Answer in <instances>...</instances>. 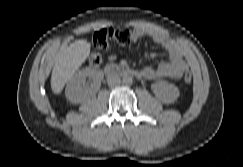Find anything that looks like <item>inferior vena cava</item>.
<instances>
[{"instance_id":"inferior-vena-cava-1","label":"inferior vena cava","mask_w":243,"mask_h":167,"mask_svg":"<svg viewBox=\"0 0 243 167\" xmlns=\"http://www.w3.org/2000/svg\"><path fill=\"white\" fill-rule=\"evenodd\" d=\"M120 82H121V79L119 76H109L107 79V83L111 87L120 84Z\"/></svg>"}]
</instances>
